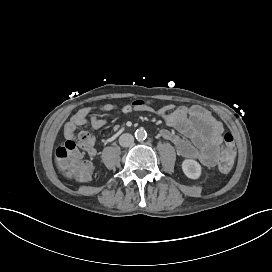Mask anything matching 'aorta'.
<instances>
[{"label":"aorta","instance_id":"1","mask_svg":"<svg viewBox=\"0 0 272 272\" xmlns=\"http://www.w3.org/2000/svg\"><path fill=\"white\" fill-rule=\"evenodd\" d=\"M146 137H147V132L143 128L137 129L135 131V138L138 141L145 140Z\"/></svg>","mask_w":272,"mask_h":272}]
</instances>
